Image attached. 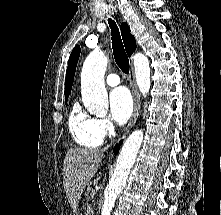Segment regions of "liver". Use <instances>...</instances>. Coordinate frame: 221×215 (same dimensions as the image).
I'll return each instance as SVG.
<instances>
[{
  "label": "liver",
  "instance_id": "1",
  "mask_svg": "<svg viewBox=\"0 0 221 215\" xmlns=\"http://www.w3.org/2000/svg\"><path fill=\"white\" fill-rule=\"evenodd\" d=\"M103 158V151L98 149L68 150L62 174L66 197L74 212H77L83 190L96 174Z\"/></svg>",
  "mask_w": 221,
  "mask_h": 215
}]
</instances>
